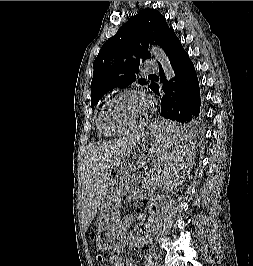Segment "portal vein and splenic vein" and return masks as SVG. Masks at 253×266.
Returning a JSON list of instances; mask_svg holds the SVG:
<instances>
[{
  "label": "portal vein and splenic vein",
  "mask_w": 253,
  "mask_h": 266,
  "mask_svg": "<svg viewBox=\"0 0 253 266\" xmlns=\"http://www.w3.org/2000/svg\"><path fill=\"white\" fill-rule=\"evenodd\" d=\"M146 189H147V191H148L149 188L146 187ZM143 193L147 194L146 190H143ZM141 194H142V192H141Z\"/></svg>",
  "instance_id": "18ae733b"
}]
</instances>
